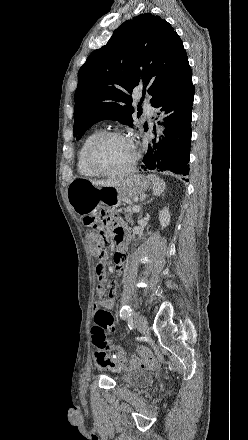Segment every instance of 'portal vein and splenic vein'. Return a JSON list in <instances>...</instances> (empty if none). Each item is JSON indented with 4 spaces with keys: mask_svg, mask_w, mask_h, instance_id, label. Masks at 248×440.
I'll list each match as a JSON object with an SVG mask.
<instances>
[{
    "mask_svg": "<svg viewBox=\"0 0 248 440\" xmlns=\"http://www.w3.org/2000/svg\"><path fill=\"white\" fill-rule=\"evenodd\" d=\"M132 211H133L134 213L139 212V211H140V206H139V205H135V206H133V207H132Z\"/></svg>",
    "mask_w": 248,
    "mask_h": 440,
    "instance_id": "portal-vein-and-splenic-vein-1",
    "label": "portal vein and splenic vein"
}]
</instances>
